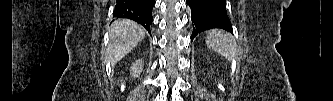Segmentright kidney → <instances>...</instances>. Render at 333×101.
<instances>
[{"mask_svg":"<svg viewBox=\"0 0 333 101\" xmlns=\"http://www.w3.org/2000/svg\"><path fill=\"white\" fill-rule=\"evenodd\" d=\"M143 63L144 61L142 59H139L132 64L130 68V73L134 78L138 77V75L142 72Z\"/></svg>","mask_w":333,"mask_h":101,"instance_id":"ca27d5eb","label":"right kidney"}]
</instances>
